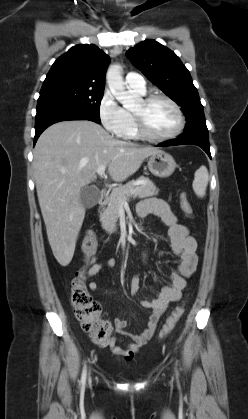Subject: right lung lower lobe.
<instances>
[{
	"instance_id": "1",
	"label": "right lung lower lobe",
	"mask_w": 248,
	"mask_h": 419,
	"mask_svg": "<svg viewBox=\"0 0 248 419\" xmlns=\"http://www.w3.org/2000/svg\"><path fill=\"white\" fill-rule=\"evenodd\" d=\"M65 120H90L100 123L91 115L76 109H59L37 113L35 118V137L34 145L40 134L50 125Z\"/></svg>"
}]
</instances>
